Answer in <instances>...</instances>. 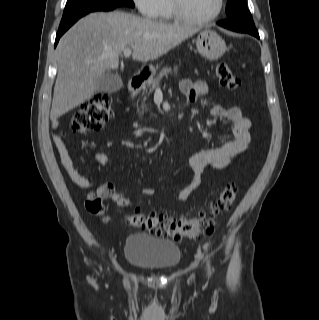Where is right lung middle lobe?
Listing matches in <instances>:
<instances>
[{"mask_svg":"<svg viewBox=\"0 0 319 320\" xmlns=\"http://www.w3.org/2000/svg\"><path fill=\"white\" fill-rule=\"evenodd\" d=\"M119 6L134 7L132 0H67L59 27L93 11H108Z\"/></svg>","mask_w":319,"mask_h":320,"instance_id":"1","label":"right lung middle lobe"}]
</instances>
